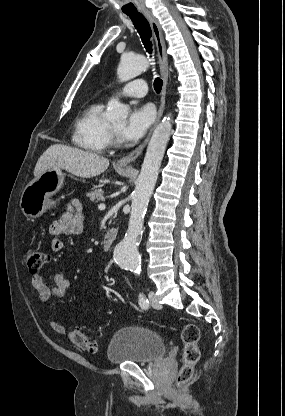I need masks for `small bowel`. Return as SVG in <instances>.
<instances>
[{
	"label": "small bowel",
	"mask_w": 285,
	"mask_h": 416,
	"mask_svg": "<svg viewBox=\"0 0 285 416\" xmlns=\"http://www.w3.org/2000/svg\"><path fill=\"white\" fill-rule=\"evenodd\" d=\"M84 227V219L80 212L79 204L73 201L64 214L56 219L49 228V233L52 236L50 241V250L53 253H59L63 249V242L61 236L76 235L82 232ZM32 287L37 291L38 298L41 302L48 304L54 298H61L65 295L70 286V282L63 274H56L53 278V285L47 284L41 276L32 278ZM48 324L51 329L58 335L64 336L67 334V329L49 318Z\"/></svg>",
	"instance_id": "c3829d8e"
}]
</instances>
